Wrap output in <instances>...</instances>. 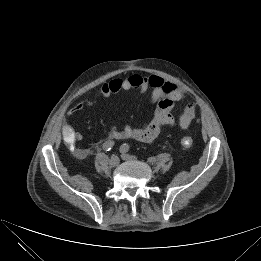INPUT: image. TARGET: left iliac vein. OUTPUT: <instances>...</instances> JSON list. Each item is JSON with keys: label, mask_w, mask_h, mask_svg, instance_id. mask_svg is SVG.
Instances as JSON below:
<instances>
[{"label": "left iliac vein", "mask_w": 261, "mask_h": 261, "mask_svg": "<svg viewBox=\"0 0 261 261\" xmlns=\"http://www.w3.org/2000/svg\"><path fill=\"white\" fill-rule=\"evenodd\" d=\"M121 158H122L123 160H126V161L134 160V157H133V156H131V155H129V154H126V153H124V152H122Z\"/></svg>", "instance_id": "1"}]
</instances>
